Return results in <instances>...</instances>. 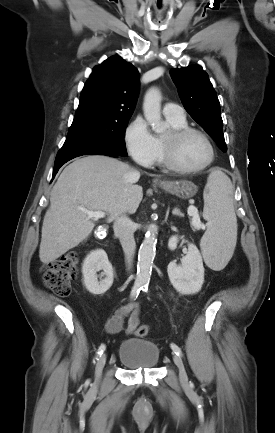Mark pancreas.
<instances>
[{
  "label": "pancreas",
  "mask_w": 275,
  "mask_h": 433,
  "mask_svg": "<svg viewBox=\"0 0 275 433\" xmlns=\"http://www.w3.org/2000/svg\"><path fill=\"white\" fill-rule=\"evenodd\" d=\"M193 229H196L193 225H191Z\"/></svg>",
  "instance_id": "cf45deb5"
}]
</instances>
